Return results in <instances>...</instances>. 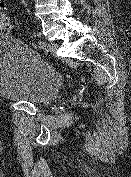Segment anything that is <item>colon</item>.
<instances>
[{
  "instance_id": "5ec220e1",
  "label": "colon",
  "mask_w": 131,
  "mask_h": 177,
  "mask_svg": "<svg viewBox=\"0 0 131 177\" xmlns=\"http://www.w3.org/2000/svg\"><path fill=\"white\" fill-rule=\"evenodd\" d=\"M11 30V23L8 16L5 13L3 4L0 2V31L8 33Z\"/></svg>"
}]
</instances>
